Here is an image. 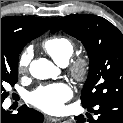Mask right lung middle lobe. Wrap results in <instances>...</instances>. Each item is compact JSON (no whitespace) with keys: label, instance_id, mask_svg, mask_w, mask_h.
<instances>
[{"label":"right lung middle lobe","instance_id":"right-lung-middle-lobe-1","mask_svg":"<svg viewBox=\"0 0 123 123\" xmlns=\"http://www.w3.org/2000/svg\"><path fill=\"white\" fill-rule=\"evenodd\" d=\"M34 38H31L24 44L18 46L11 53L1 54V101H4V99L9 95L5 90V87L9 84L14 86L18 81V58L20 52L23 47Z\"/></svg>","mask_w":123,"mask_h":123}]
</instances>
